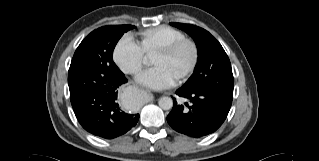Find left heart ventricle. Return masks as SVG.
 <instances>
[{
	"mask_svg": "<svg viewBox=\"0 0 319 161\" xmlns=\"http://www.w3.org/2000/svg\"><path fill=\"white\" fill-rule=\"evenodd\" d=\"M191 54L190 47L183 46L169 57H162L155 54L152 58V64L164 68L176 80L188 66L191 60Z\"/></svg>",
	"mask_w": 319,
	"mask_h": 161,
	"instance_id": "1",
	"label": "left heart ventricle"
}]
</instances>
